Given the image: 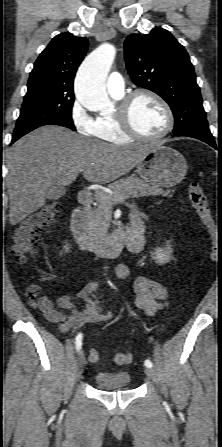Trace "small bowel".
<instances>
[{"label":"small bowel","mask_w":222,"mask_h":447,"mask_svg":"<svg viewBox=\"0 0 222 447\" xmlns=\"http://www.w3.org/2000/svg\"><path fill=\"white\" fill-rule=\"evenodd\" d=\"M135 216H138V213L134 207L131 217ZM115 272L121 280L129 275V269L124 264L117 265ZM97 288L95 282H88L77 292L76 296L83 305L76 303L69 295H62L56 301L47 295H42L37 301L30 302V306L39 311L47 321L59 324L62 332L78 329L86 324L108 322L113 319L114 314L103 311L97 296ZM134 292L136 306L148 316L167 305L168 293L165 286L147 276H139L135 279Z\"/></svg>","instance_id":"obj_1"}]
</instances>
